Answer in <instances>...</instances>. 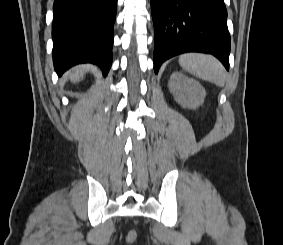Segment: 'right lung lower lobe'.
Returning a JSON list of instances; mask_svg holds the SVG:
<instances>
[{"label": "right lung lower lobe", "mask_w": 283, "mask_h": 245, "mask_svg": "<svg viewBox=\"0 0 283 245\" xmlns=\"http://www.w3.org/2000/svg\"><path fill=\"white\" fill-rule=\"evenodd\" d=\"M117 0H55L52 25L53 62L60 76L78 63L112 64Z\"/></svg>", "instance_id": "obj_1"}]
</instances>
